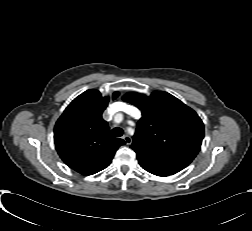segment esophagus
<instances>
[{
	"label": "esophagus",
	"instance_id": "34e87169",
	"mask_svg": "<svg viewBox=\"0 0 252 231\" xmlns=\"http://www.w3.org/2000/svg\"><path fill=\"white\" fill-rule=\"evenodd\" d=\"M123 139L127 145H130L132 143V138L129 135H124Z\"/></svg>",
	"mask_w": 252,
	"mask_h": 231
}]
</instances>
